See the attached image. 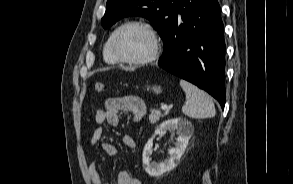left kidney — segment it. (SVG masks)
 <instances>
[{
  "mask_svg": "<svg viewBox=\"0 0 293 184\" xmlns=\"http://www.w3.org/2000/svg\"><path fill=\"white\" fill-rule=\"evenodd\" d=\"M167 130L176 131L178 137L174 148L169 151L170 157L161 163L151 162L153 139L156 135H162ZM194 127L186 119L178 117L169 119L161 123L155 130L154 135L148 140L143 150V165L148 175L159 177L167 171L173 170L180 161L189 139L193 135Z\"/></svg>",
  "mask_w": 293,
  "mask_h": 184,
  "instance_id": "obj_1",
  "label": "left kidney"
}]
</instances>
